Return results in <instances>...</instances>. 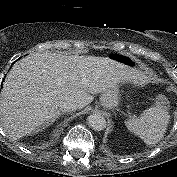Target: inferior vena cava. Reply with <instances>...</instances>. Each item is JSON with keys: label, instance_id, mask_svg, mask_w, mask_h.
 <instances>
[{"label": "inferior vena cava", "instance_id": "obj_1", "mask_svg": "<svg viewBox=\"0 0 177 177\" xmlns=\"http://www.w3.org/2000/svg\"><path fill=\"white\" fill-rule=\"evenodd\" d=\"M79 108V105L76 102L65 101L60 104L59 110L62 112H72L76 111Z\"/></svg>", "mask_w": 177, "mask_h": 177}]
</instances>
